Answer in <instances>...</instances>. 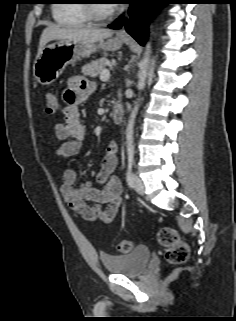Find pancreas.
Listing matches in <instances>:
<instances>
[{
	"mask_svg": "<svg viewBox=\"0 0 236 321\" xmlns=\"http://www.w3.org/2000/svg\"><path fill=\"white\" fill-rule=\"evenodd\" d=\"M107 63L108 60L105 57L92 61L82 68V73L95 78L105 69Z\"/></svg>",
	"mask_w": 236,
	"mask_h": 321,
	"instance_id": "obj_1",
	"label": "pancreas"
}]
</instances>
